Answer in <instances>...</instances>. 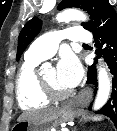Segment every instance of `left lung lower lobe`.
<instances>
[{"mask_svg": "<svg viewBox=\"0 0 117 131\" xmlns=\"http://www.w3.org/2000/svg\"><path fill=\"white\" fill-rule=\"evenodd\" d=\"M91 32L96 39L95 43L98 47L96 52L103 55L113 75L111 98L98 113L110 117L117 127V14L109 2L102 10ZM90 83L97 86V75L94 65L88 67L87 84ZM96 91L97 89H95V93Z\"/></svg>", "mask_w": 117, "mask_h": 131, "instance_id": "obj_1", "label": "left lung lower lobe"}]
</instances>
